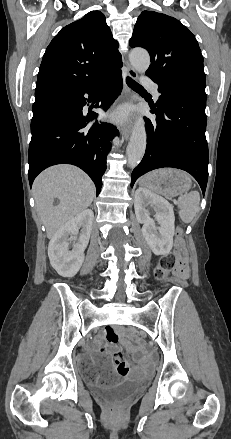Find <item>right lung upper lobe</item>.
I'll return each mask as SVG.
<instances>
[{"label": "right lung upper lobe", "instance_id": "obj_1", "mask_svg": "<svg viewBox=\"0 0 231 439\" xmlns=\"http://www.w3.org/2000/svg\"><path fill=\"white\" fill-rule=\"evenodd\" d=\"M118 46L100 11L65 26L44 53L35 96L80 90L118 69L122 65Z\"/></svg>", "mask_w": 231, "mask_h": 439}]
</instances>
